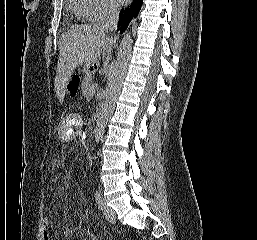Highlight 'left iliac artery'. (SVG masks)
Wrapping results in <instances>:
<instances>
[{
    "mask_svg": "<svg viewBox=\"0 0 257 240\" xmlns=\"http://www.w3.org/2000/svg\"><path fill=\"white\" fill-rule=\"evenodd\" d=\"M95 199H96V203H97L99 209L102 210V208H103V200H102L101 194L98 191H96V193H95Z\"/></svg>",
    "mask_w": 257,
    "mask_h": 240,
    "instance_id": "1",
    "label": "left iliac artery"
}]
</instances>
